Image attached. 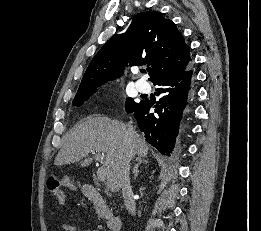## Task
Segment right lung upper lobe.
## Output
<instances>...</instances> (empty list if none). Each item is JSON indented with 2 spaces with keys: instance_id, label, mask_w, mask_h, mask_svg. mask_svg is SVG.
I'll use <instances>...</instances> for the list:
<instances>
[{
  "instance_id": "right-lung-upper-lobe-1",
  "label": "right lung upper lobe",
  "mask_w": 261,
  "mask_h": 231,
  "mask_svg": "<svg viewBox=\"0 0 261 231\" xmlns=\"http://www.w3.org/2000/svg\"><path fill=\"white\" fill-rule=\"evenodd\" d=\"M130 66L151 65L150 81L180 73L191 65L189 46L176 25L162 13L136 15L126 34L114 35L89 64L76 95L94 92Z\"/></svg>"
}]
</instances>
